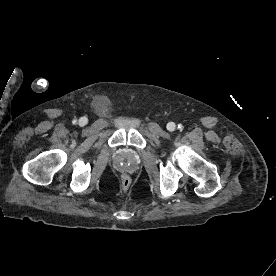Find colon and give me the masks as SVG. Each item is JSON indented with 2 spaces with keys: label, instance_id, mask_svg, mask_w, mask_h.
<instances>
[{
  "label": "colon",
  "instance_id": "5ec220e1",
  "mask_svg": "<svg viewBox=\"0 0 276 276\" xmlns=\"http://www.w3.org/2000/svg\"><path fill=\"white\" fill-rule=\"evenodd\" d=\"M131 184V180L127 175L121 176V187L124 190H127Z\"/></svg>",
  "mask_w": 276,
  "mask_h": 276
}]
</instances>
